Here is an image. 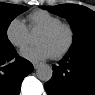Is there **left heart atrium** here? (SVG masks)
I'll return each instance as SVG.
<instances>
[{
  "mask_svg": "<svg viewBox=\"0 0 95 95\" xmlns=\"http://www.w3.org/2000/svg\"><path fill=\"white\" fill-rule=\"evenodd\" d=\"M21 55L31 61L44 60L51 57L53 54L45 44L26 47L21 50Z\"/></svg>",
  "mask_w": 95,
  "mask_h": 95,
  "instance_id": "1",
  "label": "left heart atrium"
}]
</instances>
